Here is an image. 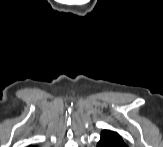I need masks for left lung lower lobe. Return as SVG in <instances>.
Returning <instances> with one entry per match:
<instances>
[{
	"label": "left lung lower lobe",
	"mask_w": 163,
	"mask_h": 147,
	"mask_svg": "<svg viewBox=\"0 0 163 147\" xmlns=\"http://www.w3.org/2000/svg\"><path fill=\"white\" fill-rule=\"evenodd\" d=\"M97 147H127L118 133L103 130Z\"/></svg>",
	"instance_id": "obj_1"
}]
</instances>
